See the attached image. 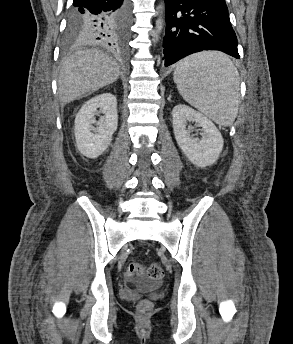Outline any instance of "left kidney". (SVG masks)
Masks as SVG:
<instances>
[{
	"instance_id": "left-kidney-1",
	"label": "left kidney",
	"mask_w": 293,
	"mask_h": 344,
	"mask_svg": "<svg viewBox=\"0 0 293 344\" xmlns=\"http://www.w3.org/2000/svg\"><path fill=\"white\" fill-rule=\"evenodd\" d=\"M172 118L176 141L188 160L201 168L214 164L224 145L222 135L214 123L200 112L183 104L173 108ZM191 122H195L196 127H202L201 140L191 137Z\"/></svg>"
}]
</instances>
